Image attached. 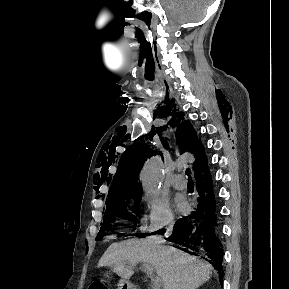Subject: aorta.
<instances>
[{
	"label": "aorta",
	"mask_w": 289,
	"mask_h": 289,
	"mask_svg": "<svg viewBox=\"0 0 289 289\" xmlns=\"http://www.w3.org/2000/svg\"><path fill=\"white\" fill-rule=\"evenodd\" d=\"M163 163L159 156L148 160L140 174L142 188L148 192L157 191L162 183Z\"/></svg>",
	"instance_id": "1"
}]
</instances>
